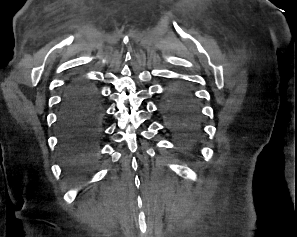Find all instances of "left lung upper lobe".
<instances>
[{
	"label": "left lung upper lobe",
	"instance_id": "obj_1",
	"mask_svg": "<svg viewBox=\"0 0 297 237\" xmlns=\"http://www.w3.org/2000/svg\"><path fill=\"white\" fill-rule=\"evenodd\" d=\"M194 101V95L186 87H175L169 92V97L167 103H173L178 101Z\"/></svg>",
	"mask_w": 297,
	"mask_h": 237
}]
</instances>
